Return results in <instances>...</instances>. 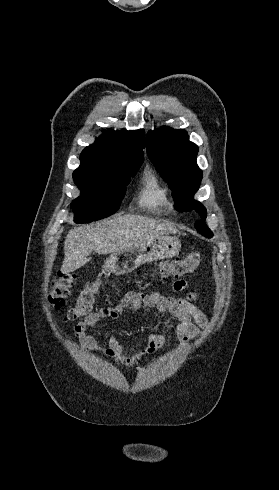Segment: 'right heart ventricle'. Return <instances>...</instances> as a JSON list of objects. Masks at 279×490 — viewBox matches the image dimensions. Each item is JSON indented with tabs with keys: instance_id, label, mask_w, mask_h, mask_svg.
Wrapping results in <instances>:
<instances>
[{
	"instance_id": "right-heart-ventricle-1",
	"label": "right heart ventricle",
	"mask_w": 279,
	"mask_h": 490,
	"mask_svg": "<svg viewBox=\"0 0 279 490\" xmlns=\"http://www.w3.org/2000/svg\"><path fill=\"white\" fill-rule=\"evenodd\" d=\"M139 203L155 214L173 209L170 191L154 170H148L144 175Z\"/></svg>"
}]
</instances>
